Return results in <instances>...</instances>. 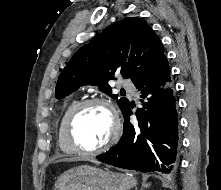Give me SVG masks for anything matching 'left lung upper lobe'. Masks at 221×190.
Instances as JSON below:
<instances>
[{"mask_svg": "<svg viewBox=\"0 0 221 190\" xmlns=\"http://www.w3.org/2000/svg\"><path fill=\"white\" fill-rule=\"evenodd\" d=\"M163 56L162 42L145 21L125 18L107 27L73 55L58 78L55 97L63 98L83 85H95L110 94L108 81L115 79V75L130 78L135 84ZM117 104L122 113L130 105L126 98L118 99Z\"/></svg>", "mask_w": 221, "mask_h": 190, "instance_id": "left-lung-upper-lobe-1", "label": "left lung upper lobe"}]
</instances>
